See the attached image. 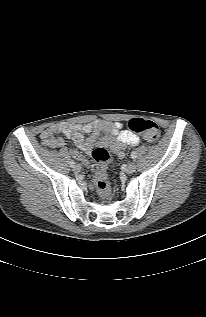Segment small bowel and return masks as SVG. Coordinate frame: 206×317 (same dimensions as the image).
Returning a JSON list of instances; mask_svg holds the SVG:
<instances>
[{
    "instance_id": "1",
    "label": "small bowel",
    "mask_w": 206,
    "mask_h": 317,
    "mask_svg": "<svg viewBox=\"0 0 206 317\" xmlns=\"http://www.w3.org/2000/svg\"><path fill=\"white\" fill-rule=\"evenodd\" d=\"M121 128L122 124L119 122L99 119L86 124L51 126L42 131L40 137L46 146L61 148L64 146V140L56 136L60 133L71 139L79 149L87 154H90L95 147H108L114 155L122 158L125 147L138 145L140 138L131 131L120 130ZM70 154L75 159L88 164L77 150H70Z\"/></svg>"
}]
</instances>
